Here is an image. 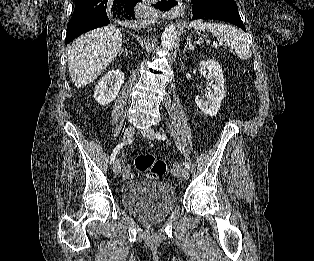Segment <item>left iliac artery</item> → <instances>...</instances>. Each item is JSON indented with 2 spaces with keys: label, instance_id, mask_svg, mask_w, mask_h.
I'll list each match as a JSON object with an SVG mask.
<instances>
[{
  "label": "left iliac artery",
  "instance_id": "1",
  "mask_svg": "<svg viewBox=\"0 0 314 261\" xmlns=\"http://www.w3.org/2000/svg\"><path fill=\"white\" fill-rule=\"evenodd\" d=\"M155 136H156V138H158V139H160V140H165V139H167L166 135L161 134V133H156ZM185 167H186L187 169H190V164H189L188 162H185Z\"/></svg>",
  "mask_w": 314,
  "mask_h": 261
}]
</instances>
